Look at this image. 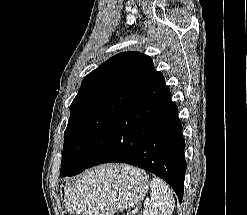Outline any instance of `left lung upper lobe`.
Instances as JSON below:
<instances>
[{"instance_id":"obj_1","label":"left lung upper lobe","mask_w":247,"mask_h":215,"mask_svg":"<svg viewBox=\"0 0 247 215\" xmlns=\"http://www.w3.org/2000/svg\"><path fill=\"white\" fill-rule=\"evenodd\" d=\"M155 73L149 56L125 52L113 56L84 78L70 106L61 171L75 162L84 143L96 141L108 132Z\"/></svg>"}]
</instances>
